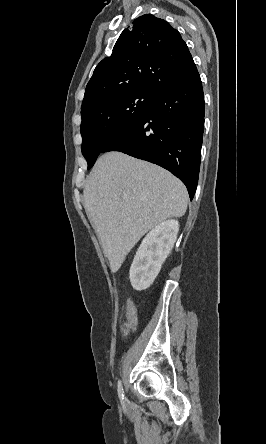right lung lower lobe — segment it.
Segmentation results:
<instances>
[{"label":"right lung lower lobe","mask_w":266,"mask_h":444,"mask_svg":"<svg viewBox=\"0 0 266 444\" xmlns=\"http://www.w3.org/2000/svg\"><path fill=\"white\" fill-rule=\"evenodd\" d=\"M204 95L198 71L156 94L149 113L119 133L103 152L119 151L177 176L192 200L197 188L204 129Z\"/></svg>","instance_id":"1"}]
</instances>
